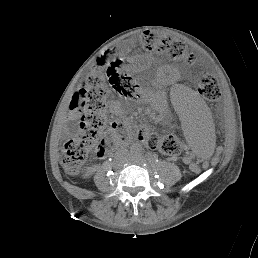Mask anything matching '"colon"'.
Masks as SVG:
<instances>
[{
    "label": "colon",
    "mask_w": 258,
    "mask_h": 258,
    "mask_svg": "<svg viewBox=\"0 0 258 258\" xmlns=\"http://www.w3.org/2000/svg\"><path fill=\"white\" fill-rule=\"evenodd\" d=\"M140 42L147 50L161 49L172 58L191 62L182 45L168 34L146 32L141 36ZM108 84L124 97L130 96L136 88L135 81L122 70L120 61L101 56L92 64L90 73L74 95L75 106L81 112L80 130L73 140L63 146L60 154L62 166L68 174L77 173L90 152L104 151L117 141H111L103 132L107 125L105 112ZM198 90L210 101H215L220 96L219 84L209 74L202 75ZM136 134L149 148L165 155L176 156L181 152L179 141L172 135H161L143 125L136 128Z\"/></svg>",
    "instance_id": "colon-1"
}]
</instances>
